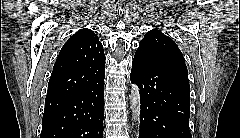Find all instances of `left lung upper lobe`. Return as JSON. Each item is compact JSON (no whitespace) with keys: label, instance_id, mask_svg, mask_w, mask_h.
I'll return each instance as SVG.
<instances>
[{"label":"left lung upper lobe","instance_id":"left-lung-upper-lobe-1","mask_svg":"<svg viewBox=\"0 0 240 138\" xmlns=\"http://www.w3.org/2000/svg\"><path fill=\"white\" fill-rule=\"evenodd\" d=\"M135 56L145 60H174L185 63L182 52L175 42L157 29L150 30L145 34Z\"/></svg>","mask_w":240,"mask_h":138}]
</instances>
